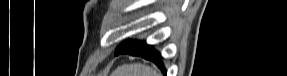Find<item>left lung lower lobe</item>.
Returning <instances> with one entry per match:
<instances>
[{"label":"left lung lower lobe","mask_w":287,"mask_h":76,"mask_svg":"<svg viewBox=\"0 0 287 76\" xmlns=\"http://www.w3.org/2000/svg\"><path fill=\"white\" fill-rule=\"evenodd\" d=\"M120 53H127L134 56H142L145 59L151 60L163 71V73L166 74L160 54L156 50L152 49L145 42L137 41L133 44L122 47L121 49L117 50L116 55Z\"/></svg>","instance_id":"1"}]
</instances>
